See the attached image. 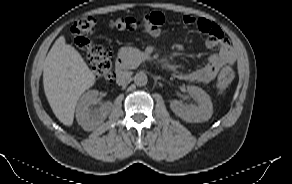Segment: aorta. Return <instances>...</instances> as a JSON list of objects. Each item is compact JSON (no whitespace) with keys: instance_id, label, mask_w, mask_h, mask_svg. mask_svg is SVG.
<instances>
[{"instance_id":"obj_1","label":"aorta","mask_w":292,"mask_h":184,"mask_svg":"<svg viewBox=\"0 0 292 184\" xmlns=\"http://www.w3.org/2000/svg\"><path fill=\"white\" fill-rule=\"evenodd\" d=\"M133 80L137 86H145L148 82V77L144 72L140 71L136 73Z\"/></svg>"}]
</instances>
